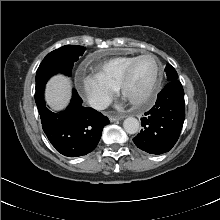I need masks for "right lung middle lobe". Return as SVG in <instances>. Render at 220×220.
Returning a JSON list of instances; mask_svg holds the SVG:
<instances>
[{"instance_id": "right-lung-middle-lobe-1", "label": "right lung middle lobe", "mask_w": 220, "mask_h": 220, "mask_svg": "<svg viewBox=\"0 0 220 220\" xmlns=\"http://www.w3.org/2000/svg\"><path fill=\"white\" fill-rule=\"evenodd\" d=\"M85 50L83 46L66 45L50 52L37 69L36 90L44 87L47 80L56 73L70 76L74 62Z\"/></svg>"}]
</instances>
